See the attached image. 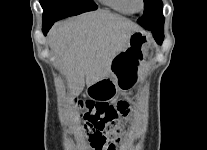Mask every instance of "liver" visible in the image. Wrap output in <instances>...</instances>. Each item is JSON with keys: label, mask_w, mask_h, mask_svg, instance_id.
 Returning <instances> with one entry per match:
<instances>
[{"label": "liver", "mask_w": 207, "mask_h": 150, "mask_svg": "<svg viewBox=\"0 0 207 150\" xmlns=\"http://www.w3.org/2000/svg\"><path fill=\"white\" fill-rule=\"evenodd\" d=\"M138 30L127 18L101 10L56 23L48 43L71 94L79 95L85 82L90 86L110 77L112 60Z\"/></svg>", "instance_id": "1"}]
</instances>
